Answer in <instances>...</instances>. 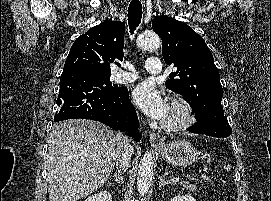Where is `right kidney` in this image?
I'll return each instance as SVG.
<instances>
[{
    "label": "right kidney",
    "mask_w": 271,
    "mask_h": 201,
    "mask_svg": "<svg viewBox=\"0 0 271 201\" xmlns=\"http://www.w3.org/2000/svg\"><path fill=\"white\" fill-rule=\"evenodd\" d=\"M85 201H112V196L108 191H102L98 194L89 196Z\"/></svg>",
    "instance_id": "ca27d5eb"
}]
</instances>
